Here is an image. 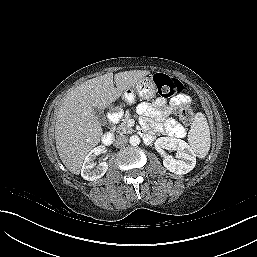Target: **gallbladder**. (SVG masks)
<instances>
[{"mask_svg": "<svg viewBox=\"0 0 257 257\" xmlns=\"http://www.w3.org/2000/svg\"><path fill=\"white\" fill-rule=\"evenodd\" d=\"M94 114L96 115L100 123H105V116L101 110L94 108Z\"/></svg>", "mask_w": 257, "mask_h": 257, "instance_id": "bac80fb5", "label": "gallbladder"}]
</instances>
